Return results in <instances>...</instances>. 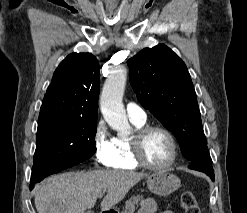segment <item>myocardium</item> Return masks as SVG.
<instances>
[{
	"mask_svg": "<svg viewBox=\"0 0 247 213\" xmlns=\"http://www.w3.org/2000/svg\"><path fill=\"white\" fill-rule=\"evenodd\" d=\"M152 131H160L164 133L169 139L171 145V156L163 165H153L147 162L142 153L143 140ZM130 149L132 158L137 165L153 171H164L169 169L173 166L178 156V142L174 134L169 129L161 125H145L136 129L135 133L130 138Z\"/></svg>",
	"mask_w": 247,
	"mask_h": 213,
	"instance_id": "myocardium-1",
	"label": "myocardium"
}]
</instances>
